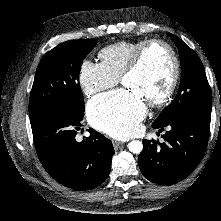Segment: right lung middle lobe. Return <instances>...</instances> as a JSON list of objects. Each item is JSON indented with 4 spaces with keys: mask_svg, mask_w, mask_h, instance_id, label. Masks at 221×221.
Returning a JSON list of instances; mask_svg holds the SVG:
<instances>
[{
    "mask_svg": "<svg viewBox=\"0 0 221 221\" xmlns=\"http://www.w3.org/2000/svg\"><path fill=\"white\" fill-rule=\"evenodd\" d=\"M96 44V39L68 41L43 57L37 67L30 94V118L52 109H63L78 117L84 116L79 72L84 58Z\"/></svg>",
    "mask_w": 221,
    "mask_h": 221,
    "instance_id": "right-lung-middle-lobe-1",
    "label": "right lung middle lobe"
}]
</instances>
